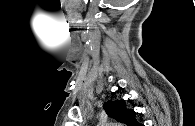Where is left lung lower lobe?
<instances>
[{
  "mask_svg": "<svg viewBox=\"0 0 195 126\" xmlns=\"http://www.w3.org/2000/svg\"><path fill=\"white\" fill-rule=\"evenodd\" d=\"M137 126H144V125H142V124L139 123Z\"/></svg>",
  "mask_w": 195,
  "mask_h": 126,
  "instance_id": "left-lung-lower-lobe-1",
  "label": "left lung lower lobe"
}]
</instances>
